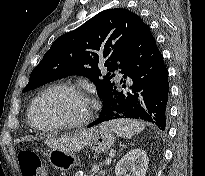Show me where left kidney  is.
I'll return each instance as SVG.
<instances>
[{
	"label": "left kidney",
	"instance_id": "obj_1",
	"mask_svg": "<svg viewBox=\"0 0 205 176\" xmlns=\"http://www.w3.org/2000/svg\"><path fill=\"white\" fill-rule=\"evenodd\" d=\"M149 159L144 150L136 148L124 155L115 167L116 176H145Z\"/></svg>",
	"mask_w": 205,
	"mask_h": 176
}]
</instances>
